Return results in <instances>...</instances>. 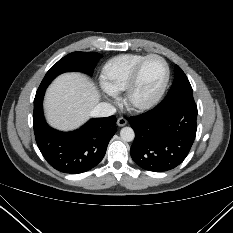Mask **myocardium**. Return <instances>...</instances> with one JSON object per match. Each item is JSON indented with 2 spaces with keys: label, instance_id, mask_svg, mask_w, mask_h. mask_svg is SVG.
Wrapping results in <instances>:
<instances>
[{
  "label": "myocardium",
  "instance_id": "obj_1",
  "mask_svg": "<svg viewBox=\"0 0 233 233\" xmlns=\"http://www.w3.org/2000/svg\"><path fill=\"white\" fill-rule=\"evenodd\" d=\"M151 58H157L162 61V63L165 66V77L159 89L150 98L141 100L136 97L139 77L144 64ZM169 80H170V68L166 60L158 54L146 55L143 59L139 61V63L136 65V67L134 68L131 74L129 83L125 90L126 105L130 109L135 111H144L154 107L163 97L167 89Z\"/></svg>",
  "mask_w": 233,
  "mask_h": 233
}]
</instances>
